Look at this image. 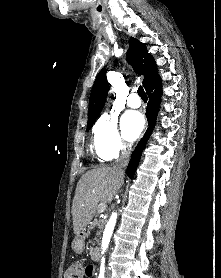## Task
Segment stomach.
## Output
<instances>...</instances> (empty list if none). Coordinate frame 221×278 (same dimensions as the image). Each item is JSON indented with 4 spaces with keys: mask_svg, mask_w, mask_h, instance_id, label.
I'll return each instance as SVG.
<instances>
[{
    "mask_svg": "<svg viewBox=\"0 0 221 278\" xmlns=\"http://www.w3.org/2000/svg\"><path fill=\"white\" fill-rule=\"evenodd\" d=\"M84 238L81 236V235H77L72 244H71V247H72V250L75 252V253H82L83 250H84Z\"/></svg>",
    "mask_w": 221,
    "mask_h": 278,
    "instance_id": "0dacf381",
    "label": "stomach"
}]
</instances>
